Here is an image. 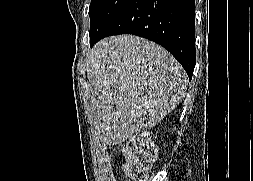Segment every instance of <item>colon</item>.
<instances>
[{"instance_id":"colon-1","label":"colon","mask_w":253,"mask_h":181,"mask_svg":"<svg viewBox=\"0 0 253 181\" xmlns=\"http://www.w3.org/2000/svg\"><path fill=\"white\" fill-rule=\"evenodd\" d=\"M127 177L132 181H144L146 172L157 155V147L150 137L143 135L131 140L126 148Z\"/></svg>"}]
</instances>
